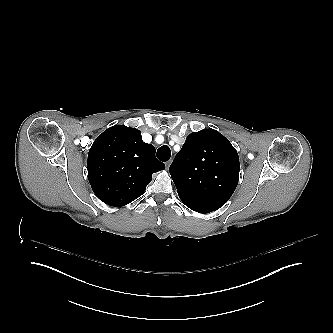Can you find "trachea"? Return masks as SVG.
<instances>
[{"label":"trachea","instance_id":"1","mask_svg":"<svg viewBox=\"0 0 333 333\" xmlns=\"http://www.w3.org/2000/svg\"><path fill=\"white\" fill-rule=\"evenodd\" d=\"M171 150L167 145H163L157 150V158L163 162H166L170 159Z\"/></svg>","mask_w":333,"mask_h":333}]
</instances>
